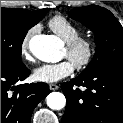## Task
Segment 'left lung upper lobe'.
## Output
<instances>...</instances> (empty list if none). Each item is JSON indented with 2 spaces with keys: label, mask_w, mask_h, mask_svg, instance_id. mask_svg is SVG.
Segmentation results:
<instances>
[{
  "label": "left lung upper lobe",
  "mask_w": 123,
  "mask_h": 123,
  "mask_svg": "<svg viewBox=\"0 0 123 123\" xmlns=\"http://www.w3.org/2000/svg\"><path fill=\"white\" fill-rule=\"evenodd\" d=\"M70 17L93 31L96 52L80 75H88L110 64H123V27L113 14L100 6L74 8Z\"/></svg>",
  "instance_id": "left-lung-upper-lobe-1"
}]
</instances>
